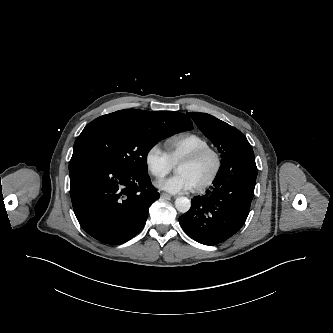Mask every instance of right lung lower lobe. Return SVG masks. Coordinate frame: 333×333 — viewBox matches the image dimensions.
Segmentation results:
<instances>
[{
    "label": "right lung lower lobe",
    "instance_id": "right-lung-lower-lobe-1",
    "mask_svg": "<svg viewBox=\"0 0 333 333\" xmlns=\"http://www.w3.org/2000/svg\"><path fill=\"white\" fill-rule=\"evenodd\" d=\"M69 173L78 222L106 244L133 238L145 225L150 205L159 198L148 174L130 173L87 150L73 152Z\"/></svg>",
    "mask_w": 333,
    "mask_h": 333
}]
</instances>
